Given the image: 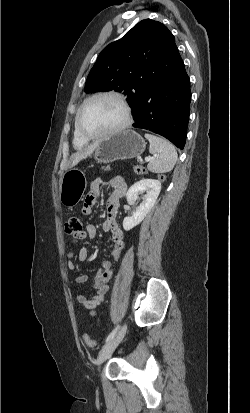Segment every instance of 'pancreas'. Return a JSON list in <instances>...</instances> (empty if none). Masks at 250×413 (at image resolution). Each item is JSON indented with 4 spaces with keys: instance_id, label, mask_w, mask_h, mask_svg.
I'll use <instances>...</instances> for the list:
<instances>
[{
    "instance_id": "1",
    "label": "pancreas",
    "mask_w": 250,
    "mask_h": 413,
    "mask_svg": "<svg viewBox=\"0 0 250 413\" xmlns=\"http://www.w3.org/2000/svg\"><path fill=\"white\" fill-rule=\"evenodd\" d=\"M102 169H104V170H110V166L102 167ZM137 169H140V171L138 172ZM142 169H143L142 167H135V168H134V171H135L137 174H143Z\"/></svg>"
}]
</instances>
